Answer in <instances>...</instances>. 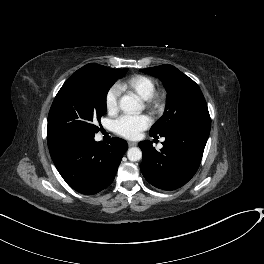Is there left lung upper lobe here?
Here are the masks:
<instances>
[{
  "label": "left lung upper lobe",
  "instance_id": "1",
  "mask_svg": "<svg viewBox=\"0 0 264 264\" xmlns=\"http://www.w3.org/2000/svg\"><path fill=\"white\" fill-rule=\"evenodd\" d=\"M141 71L160 78L168 92L165 112L151 127L150 136H165L187 122L210 124L205 98L191 78L168 64Z\"/></svg>",
  "mask_w": 264,
  "mask_h": 264
}]
</instances>
